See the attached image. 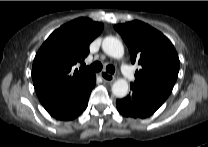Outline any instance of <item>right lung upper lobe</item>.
Listing matches in <instances>:
<instances>
[{"instance_id": "cb5924a9", "label": "right lung upper lobe", "mask_w": 208, "mask_h": 147, "mask_svg": "<svg viewBox=\"0 0 208 147\" xmlns=\"http://www.w3.org/2000/svg\"><path fill=\"white\" fill-rule=\"evenodd\" d=\"M102 23L78 18L55 30L38 50L33 62V84L41 104L64 99L95 75L75 65L89 54V44L102 32Z\"/></svg>"}]
</instances>
